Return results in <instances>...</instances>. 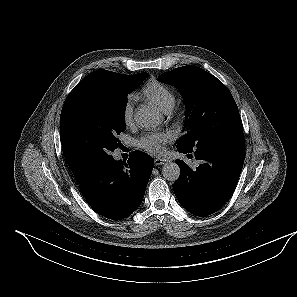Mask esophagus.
I'll use <instances>...</instances> for the list:
<instances>
[{
	"label": "esophagus",
	"mask_w": 297,
	"mask_h": 297,
	"mask_svg": "<svg viewBox=\"0 0 297 297\" xmlns=\"http://www.w3.org/2000/svg\"><path fill=\"white\" fill-rule=\"evenodd\" d=\"M168 160L166 158H155L154 159V162H155V165L156 166H159V165H163L167 162Z\"/></svg>",
	"instance_id": "34e87169"
}]
</instances>
